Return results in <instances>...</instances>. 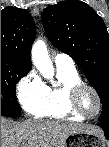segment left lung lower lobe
<instances>
[{"label":"left lung lower lobe","instance_id":"obj_1","mask_svg":"<svg viewBox=\"0 0 109 147\" xmlns=\"http://www.w3.org/2000/svg\"><path fill=\"white\" fill-rule=\"evenodd\" d=\"M97 125L100 126L104 130L105 136L108 138L109 137V123L99 122Z\"/></svg>","mask_w":109,"mask_h":147}]
</instances>
